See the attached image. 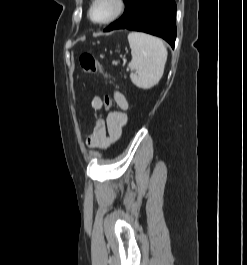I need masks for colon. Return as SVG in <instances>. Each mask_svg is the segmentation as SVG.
Here are the masks:
<instances>
[{
    "instance_id": "colon-1",
    "label": "colon",
    "mask_w": 247,
    "mask_h": 265,
    "mask_svg": "<svg viewBox=\"0 0 247 265\" xmlns=\"http://www.w3.org/2000/svg\"><path fill=\"white\" fill-rule=\"evenodd\" d=\"M80 66L82 70L87 74L104 73V70L100 63L90 54H82L79 58ZM105 110H109L112 105L110 96L103 98Z\"/></svg>"
}]
</instances>
